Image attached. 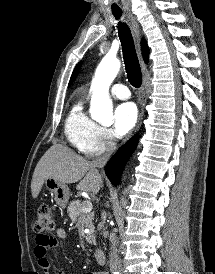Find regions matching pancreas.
I'll return each instance as SVG.
<instances>
[{
    "mask_svg": "<svg viewBox=\"0 0 215 274\" xmlns=\"http://www.w3.org/2000/svg\"><path fill=\"white\" fill-rule=\"evenodd\" d=\"M84 206V202H81L79 200L76 201H72L67 209V212L69 214V217L74 220V221H78V222H82L83 224H85L86 227H88L90 229L89 234L86 236V241L90 244H96V240H95V227L93 225V214L90 212H83L82 208Z\"/></svg>",
    "mask_w": 215,
    "mask_h": 274,
    "instance_id": "pancreas-1",
    "label": "pancreas"
}]
</instances>
